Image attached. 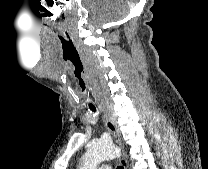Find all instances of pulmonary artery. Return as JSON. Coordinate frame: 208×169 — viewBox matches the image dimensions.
I'll list each match as a JSON object with an SVG mask.
<instances>
[{"label": "pulmonary artery", "instance_id": "1", "mask_svg": "<svg viewBox=\"0 0 208 169\" xmlns=\"http://www.w3.org/2000/svg\"><path fill=\"white\" fill-rule=\"evenodd\" d=\"M100 169H111L110 165H108L107 163H103L99 166Z\"/></svg>", "mask_w": 208, "mask_h": 169}]
</instances>
